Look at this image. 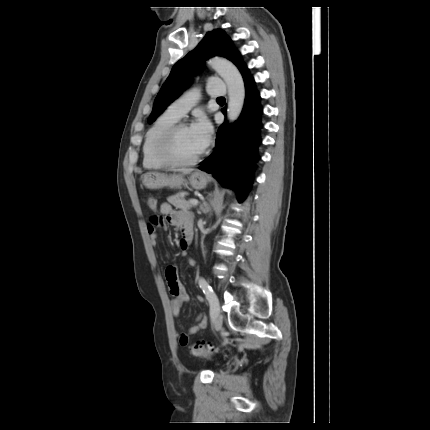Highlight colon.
I'll return each mask as SVG.
<instances>
[{
  "mask_svg": "<svg viewBox=\"0 0 430 430\" xmlns=\"http://www.w3.org/2000/svg\"><path fill=\"white\" fill-rule=\"evenodd\" d=\"M147 204L151 210H156L157 202L154 198L149 197L147 199ZM155 217L159 218L157 216ZM190 352L195 357L207 358L212 356L216 352V349L212 346H206L203 342L198 341L190 347Z\"/></svg>",
  "mask_w": 430,
  "mask_h": 430,
  "instance_id": "colon-1",
  "label": "colon"
}]
</instances>
